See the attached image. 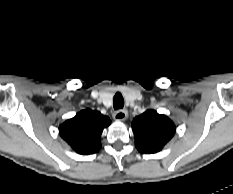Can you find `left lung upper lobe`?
Instances as JSON below:
<instances>
[{"label": "left lung upper lobe", "instance_id": "obj_1", "mask_svg": "<svg viewBox=\"0 0 233 194\" xmlns=\"http://www.w3.org/2000/svg\"><path fill=\"white\" fill-rule=\"evenodd\" d=\"M132 129L135 146L140 153L160 151L175 133L174 123L165 115L150 109L134 118Z\"/></svg>", "mask_w": 233, "mask_h": 194}]
</instances>
